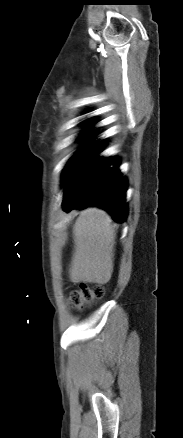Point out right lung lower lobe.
Listing matches in <instances>:
<instances>
[{"mask_svg": "<svg viewBox=\"0 0 183 438\" xmlns=\"http://www.w3.org/2000/svg\"><path fill=\"white\" fill-rule=\"evenodd\" d=\"M105 142H92L82 148L63 172V209L98 206L117 222L127 217V180L118 170L117 158L97 157Z\"/></svg>", "mask_w": 183, "mask_h": 438, "instance_id": "98d812e1", "label": "right lung lower lobe"}]
</instances>
